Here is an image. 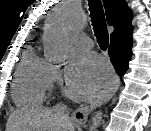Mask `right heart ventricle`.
Segmentation results:
<instances>
[{
	"label": "right heart ventricle",
	"mask_w": 151,
	"mask_h": 131,
	"mask_svg": "<svg viewBox=\"0 0 151 131\" xmlns=\"http://www.w3.org/2000/svg\"><path fill=\"white\" fill-rule=\"evenodd\" d=\"M51 66L34 50L24 52L15 73L12 96L18 106L41 105L51 84Z\"/></svg>",
	"instance_id": "e07e8e85"
}]
</instances>
